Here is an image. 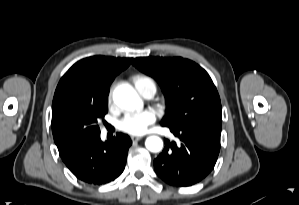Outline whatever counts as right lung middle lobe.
<instances>
[{"label":"right lung middle lobe","instance_id":"1","mask_svg":"<svg viewBox=\"0 0 299 205\" xmlns=\"http://www.w3.org/2000/svg\"><path fill=\"white\" fill-rule=\"evenodd\" d=\"M107 111V98L63 106L52 122L58 150L67 149L85 137L100 133L97 122L104 118Z\"/></svg>","mask_w":299,"mask_h":205}]
</instances>
